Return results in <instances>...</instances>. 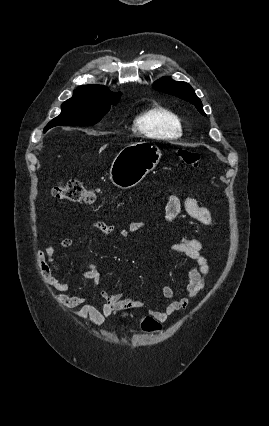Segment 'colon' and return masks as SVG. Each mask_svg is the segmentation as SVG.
I'll return each mask as SVG.
<instances>
[{
  "instance_id": "1",
  "label": "colon",
  "mask_w": 269,
  "mask_h": 426,
  "mask_svg": "<svg viewBox=\"0 0 269 426\" xmlns=\"http://www.w3.org/2000/svg\"><path fill=\"white\" fill-rule=\"evenodd\" d=\"M178 157L181 163L189 166H196L200 160L197 152L187 149L178 150ZM52 194L58 200L74 203L92 204L95 201L94 192L76 179L59 182L53 188ZM143 327L147 331H156L160 325L154 318L146 317L143 321Z\"/></svg>"
}]
</instances>
